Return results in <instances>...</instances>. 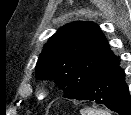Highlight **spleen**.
<instances>
[{"mask_svg": "<svg viewBox=\"0 0 131 115\" xmlns=\"http://www.w3.org/2000/svg\"><path fill=\"white\" fill-rule=\"evenodd\" d=\"M81 115H110L104 110H93V109H82L80 110Z\"/></svg>", "mask_w": 131, "mask_h": 115, "instance_id": "3e777b00", "label": "spleen"}]
</instances>
